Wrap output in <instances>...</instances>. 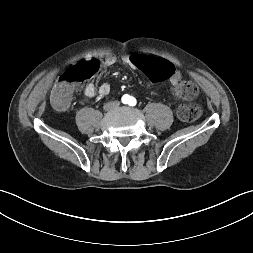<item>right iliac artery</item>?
I'll return each instance as SVG.
<instances>
[{
    "label": "right iliac artery",
    "instance_id": "82829eb1",
    "mask_svg": "<svg viewBox=\"0 0 253 253\" xmlns=\"http://www.w3.org/2000/svg\"><path fill=\"white\" fill-rule=\"evenodd\" d=\"M122 102L123 103H127V102H129V96L128 95H124L123 97H122Z\"/></svg>",
    "mask_w": 253,
    "mask_h": 253
}]
</instances>
